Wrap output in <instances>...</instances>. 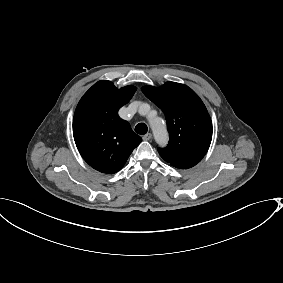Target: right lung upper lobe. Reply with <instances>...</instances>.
<instances>
[{"instance_id": "cb5924a9", "label": "right lung upper lobe", "mask_w": 283, "mask_h": 283, "mask_svg": "<svg viewBox=\"0 0 283 283\" xmlns=\"http://www.w3.org/2000/svg\"><path fill=\"white\" fill-rule=\"evenodd\" d=\"M134 86L117 89L112 82L94 84L81 98L73 118V136L83 159L94 169L113 174L142 141L118 110L129 102Z\"/></svg>"}]
</instances>
